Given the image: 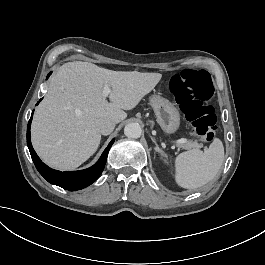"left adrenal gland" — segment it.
<instances>
[{"instance_id":"obj_1","label":"left adrenal gland","mask_w":265,"mask_h":265,"mask_svg":"<svg viewBox=\"0 0 265 265\" xmlns=\"http://www.w3.org/2000/svg\"><path fill=\"white\" fill-rule=\"evenodd\" d=\"M150 138H151V140L154 142V144H155V151L156 152H159L160 154H161V156H165V153H164V151L162 150V149H160L159 148V146H158V144L156 143V141H155V139L152 137V136H150Z\"/></svg>"}]
</instances>
